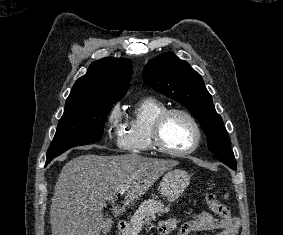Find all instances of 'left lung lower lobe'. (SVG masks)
Returning <instances> with one entry per match:
<instances>
[{"label": "left lung lower lobe", "mask_w": 283, "mask_h": 235, "mask_svg": "<svg viewBox=\"0 0 283 235\" xmlns=\"http://www.w3.org/2000/svg\"><path fill=\"white\" fill-rule=\"evenodd\" d=\"M214 157L220 160L222 163L227 165L233 170H236V161L234 154L232 155H227V154H214Z\"/></svg>", "instance_id": "obj_1"}]
</instances>
